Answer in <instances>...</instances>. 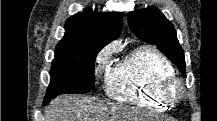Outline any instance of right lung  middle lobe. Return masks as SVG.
Returning a JSON list of instances; mask_svg holds the SVG:
<instances>
[{"label":"right lung middle lobe","instance_id":"right-lung-middle-lobe-1","mask_svg":"<svg viewBox=\"0 0 217 121\" xmlns=\"http://www.w3.org/2000/svg\"><path fill=\"white\" fill-rule=\"evenodd\" d=\"M102 47L97 43L57 45L45 100L64 93H87L94 88V63Z\"/></svg>","mask_w":217,"mask_h":121}]
</instances>
